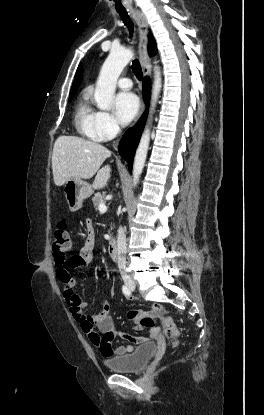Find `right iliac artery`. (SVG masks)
Instances as JSON below:
<instances>
[{
	"label": "right iliac artery",
	"mask_w": 264,
	"mask_h": 415,
	"mask_svg": "<svg viewBox=\"0 0 264 415\" xmlns=\"http://www.w3.org/2000/svg\"><path fill=\"white\" fill-rule=\"evenodd\" d=\"M122 291H123V293H124L126 296H130V295H131V291H130V289H129L127 286H125V285H123V286H122Z\"/></svg>",
	"instance_id": "right-iliac-artery-1"
}]
</instances>
